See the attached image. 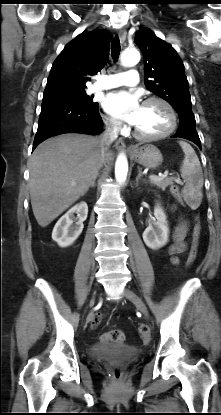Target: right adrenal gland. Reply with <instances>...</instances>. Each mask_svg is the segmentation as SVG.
<instances>
[{"label": "right adrenal gland", "mask_w": 221, "mask_h": 415, "mask_svg": "<svg viewBox=\"0 0 221 415\" xmlns=\"http://www.w3.org/2000/svg\"><path fill=\"white\" fill-rule=\"evenodd\" d=\"M99 176V174H97V176L92 180L90 187H95V181L97 179V177Z\"/></svg>", "instance_id": "1"}]
</instances>
